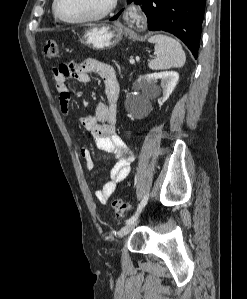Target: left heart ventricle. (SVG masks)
Returning a JSON list of instances; mask_svg holds the SVG:
<instances>
[{
	"instance_id": "left-heart-ventricle-1",
	"label": "left heart ventricle",
	"mask_w": 247,
	"mask_h": 299,
	"mask_svg": "<svg viewBox=\"0 0 247 299\" xmlns=\"http://www.w3.org/2000/svg\"><path fill=\"white\" fill-rule=\"evenodd\" d=\"M109 0H59L58 11L67 19H78L100 12Z\"/></svg>"
}]
</instances>
